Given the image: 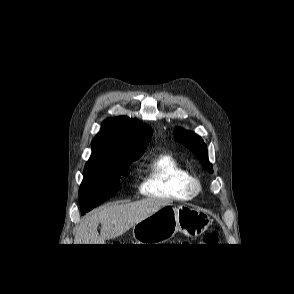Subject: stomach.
I'll use <instances>...</instances> for the list:
<instances>
[{
    "instance_id": "obj_1",
    "label": "stomach",
    "mask_w": 294,
    "mask_h": 294,
    "mask_svg": "<svg viewBox=\"0 0 294 294\" xmlns=\"http://www.w3.org/2000/svg\"><path fill=\"white\" fill-rule=\"evenodd\" d=\"M210 224V217L203 211L187 205L174 207L169 204L136 223L133 237L136 244H164L177 232L189 238L200 236Z\"/></svg>"
}]
</instances>
